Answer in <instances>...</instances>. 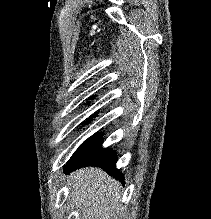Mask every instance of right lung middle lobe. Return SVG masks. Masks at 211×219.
I'll list each match as a JSON object with an SVG mask.
<instances>
[{
	"label": "right lung middle lobe",
	"mask_w": 211,
	"mask_h": 219,
	"mask_svg": "<svg viewBox=\"0 0 211 219\" xmlns=\"http://www.w3.org/2000/svg\"><path fill=\"white\" fill-rule=\"evenodd\" d=\"M94 116H96V115H92V117H94ZM88 120H90V119H88Z\"/></svg>",
	"instance_id": "right-lung-middle-lobe-1"
}]
</instances>
